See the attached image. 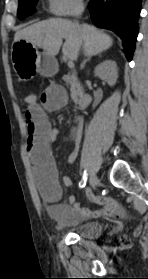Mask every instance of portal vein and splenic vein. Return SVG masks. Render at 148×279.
<instances>
[{"label": "portal vein and splenic vein", "mask_w": 148, "mask_h": 279, "mask_svg": "<svg viewBox=\"0 0 148 279\" xmlns=\"http://www.w3.org/2000/svg\"><path fill=\"white\" fill-rule=\"evenodd\" d=\"M68 67H69V68H74V62H73V60H69V61H68Z\"/></svg>", "instance_id": "obj_1"}]
</instances>
